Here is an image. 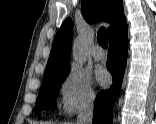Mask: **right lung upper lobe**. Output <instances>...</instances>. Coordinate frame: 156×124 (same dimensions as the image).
Returning a JSON list of instances; mask_svg holds the SVG:
<instances>
[{"mask_svg": "<svg viewBox=\"0 0 156 124\" xmlns=\"http://www.w3.org/2000/svg\"><path fill=\"white\" fill-rule=\"evenodd\" d=\"M81 12L84 19L89 23L99 20L110 23L111 25L108 27L110 39L127 29L122 0H82ZM72 29V20L66 19L55 36L43 78L70 70L68 62Z\"/></svg>", "mask_w": 156, "mask_h": 124, "instance_id": "obj_1", "label": "right lung upper lobe"}]
</instances>
